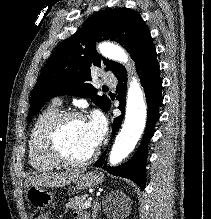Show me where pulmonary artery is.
I'll list each match as a JSON object with an SVG mask.
<instances>
[{
    "mask_svg": "<svg viewBox=\"0 0 211 219\" xmlns=\"http://www.w3.org/2000/svg\"><path fill=\"white\" fill-rule=\"evenodd\" d=\"M103 83L108 84V85H114L116 83V79L113 76L105 75L103 77ZM54 102L58 104L61 103L59 99H56Z\"/></svg>",
    "mask_w": 211,
    "mask_h": 219,
    "instance_id": "pulmonary-artery-1",
    "label": "pulmonary artery"
}]
</instances>
